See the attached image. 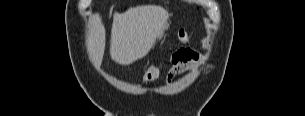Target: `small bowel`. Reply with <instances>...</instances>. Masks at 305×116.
Instances as JSON below:
<instances>
[{"label":"small bowel","instance_id":"obj_1","mask_svg":"<svg viewBox=\"0 0 305 116\" xmlns=\"http://www.w3.org/2000/svg\"><path fill=\"white\" fill-rule=\"evenodd\" d=\"M201 55L193 50L185 49V56L174 57L173 65L166 75V83L171 84L179 74L198 66Z\"/></svg>","mask_w":305,"mask_h":116}]
</instances>
